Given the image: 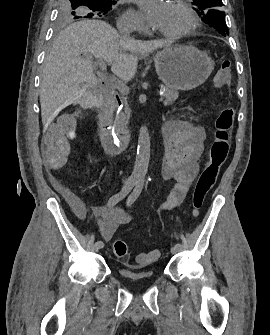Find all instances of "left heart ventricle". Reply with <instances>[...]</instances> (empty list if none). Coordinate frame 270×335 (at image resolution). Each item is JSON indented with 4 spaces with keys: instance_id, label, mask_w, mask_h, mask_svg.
I'll list each match as a JSON object with an SVG mask.
<instances>
[{
    "instance_id": "left-heart-ventricle-1",
    "label": "left heart ventricle",
    "mask_w": 270,
    "mask_h": 335,
    "mask_svg": "<svg viewBox=\"0 0 270 335\" xmlns=\"http://www.w3.org/2000/svg\"><path fill=\"white\" fill-rule=\"evenodd\" d=\"M189 26L188 17L178 9H174L171 22L170 30L172 33H177L185 30ZM185 52V51H184Z\"/></svg>"
}]
</instances>
